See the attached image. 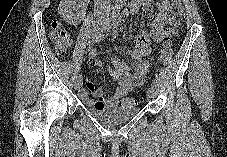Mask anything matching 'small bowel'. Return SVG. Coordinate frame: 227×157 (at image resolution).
<instances>
[{
	"label": "small bowel",
	"mask_w": 227,
	"mask_h": 157,
	"mask_svg": "<svg viewBox=\"0 0 227 157\" xmlns=\"http://www.w3.org/2000/svg\"><path fill=\"white\" fill-rule=\"evenodd\" d=\"M152 0H138V9L143 6L149 9ZM158 13L152 20V30L148 34H142L137 39L133 49H127L126 53L132 59L127 64L120 57L112 60L113 69L108 70L110 77L118 82V85L110 98H105L101 88L88 81L86 86L79 91L82 101L92 109L114 107L134 88L141 86L147 74L149 63L144 58L150 53V41L161 42L166 40L165 26L169 20L171 3L169 0H158ZM100 42L93 35L89 39L88 64L106 69L96 58L95 45Z\"/></svg>",
	"instance_id": "c3829d8e"
}]
</instances>
